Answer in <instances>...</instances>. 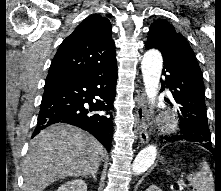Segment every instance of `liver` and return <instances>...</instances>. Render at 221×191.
I'll return each mask as SVG.
<instances>
[{"instance_id": "6515ba94", "label": "liver", "mask_w": 221, "mask_h": 191, "mask_svg": "<svg viewBox=\"0 0 221 191\" xmlns=\"http://www.w3.org/2000/svg\"><path fill=\"white\" fill-rule=\"evenodd\" d=\"M105 156L104 147L87 132L68 124L52 125L30 142L23 191H43L59 179L97 172Z\"/></svg>"}]
</instances>
